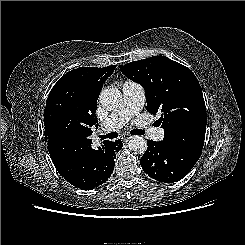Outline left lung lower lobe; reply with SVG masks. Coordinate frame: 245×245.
<instances>
[{
    "mask_svg": "<svg viewBox=\"0 0 245 245\" xmlns=\"http://www.w3.org/2000/svg\"><path fill=\"white\" fill-rule=\"evenodd\" d=\"M202 149L191 146H171L163 141H148L140 160L142 169L151 178L173 183L184 178L200 158Z\"/></svg>",
    "mask_w": 245,
    "mask_h": 245,
    "instance_id": "left-lung-lower-lobe-1",
    "label": "left lung lower lobe"
}]
</instances>
